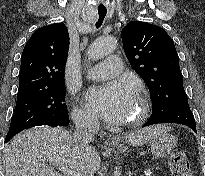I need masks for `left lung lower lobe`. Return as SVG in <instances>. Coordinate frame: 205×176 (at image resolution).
<instances>
[{
    "mask_svg": "<svg viewBox=\"0 0 205 176\" xmlns=\"http://www.w3.org/2000/svg\"><path fill=\"white\" fill-rule=\"evenodd\" d=\"M159 123H179L190 127L196 132L194 116L189 108L187 96L179 98L174 104L154 111L143 127Z\"/></svg>",
    "mask_w": 205,
    "mask_h": 176,
    "instance_id": "1",
    "label": "left lung lower lobe"
}]
</instances>
